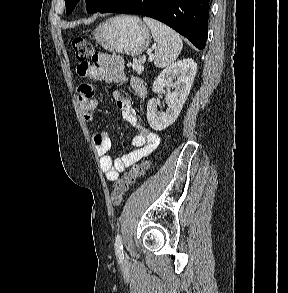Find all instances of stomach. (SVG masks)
<instances>
[{"label":"stomach","instance_id":"obj_1","mask_svg":"<svg viewBox=\"0 0 288 293\" xmlns=\"http://www.w3.org/2000/svg\"><path fill=\"white\" fill-rule=\"evenodd\" d=\"M95 40L107 51L140 55L151 41L148 27L139 17L119 15L97 26L93 32Z\"/></svg>","mask_w":288,"mask_h":293}]
</instances>
